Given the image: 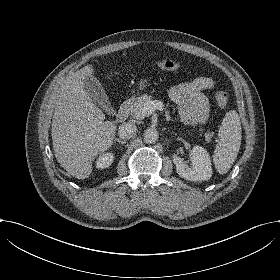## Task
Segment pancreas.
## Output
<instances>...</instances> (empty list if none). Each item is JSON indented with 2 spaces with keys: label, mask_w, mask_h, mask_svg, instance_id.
Instances as JSON below:
<instances>
[{
  "label": "pancreas",
  "mask_w": 280,
  "mask_h": 280,
  "mask_svg": "<svg viewBox=\"0 0 280 280\" xmlns=\"http://www.w3.org/2000/svg\"><path fill=\"white\" fill-rule=\"evenodd\" d=\"M151 101V96L148 95H141L135 102L132 104L126 105V108L129 112V117L134 119H142L147 117L148 114L144 113V108L146 103ZM206 141L211 142L213 137L210 133H205Z\"/></svg>",
  "instance_id": "pancreas-1"
}]
</instances>
